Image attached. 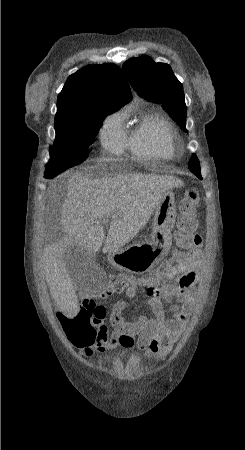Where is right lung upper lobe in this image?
<instances>
[{"instance_id":"cb5924a9","label":"right lung upper lobe","mask_w":245,"mask_h":450,"mask_svg":"<svg viewBox=\"0 0 245 450\" xmlns=\"http://www.w3.org/2000/svg\"><path fill=\"white\" fill-rule=\"evenodd\" d=\"M131 99L129 85L117 65H88L67 79L57 98L56 118L83 112L93 104L122 107Z\"/></svg>"}]
</instances>
